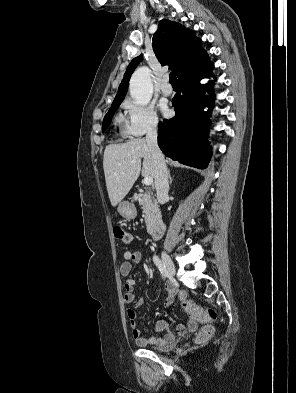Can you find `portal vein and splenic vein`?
Segmentation results:
<instances>
[{"label":"portal vein and splenic vein","mask_w":296,"mask_h":393,"mask_svg":"<svg viewBox=\"0 0 296 393\" xmlns=\"http://www.w3.org/2000/svg\"><path fill=\"white\" fill-rule=\"evenodd\" d=\"M144 184H145L146 186H149V185L153 184V177H150V176L145 177V178H144Z\"/></svg>","instance_id":"portal-vein-and-splenic-vein-1"}]
</instances>
